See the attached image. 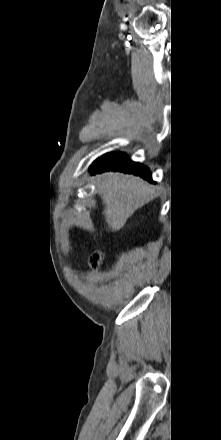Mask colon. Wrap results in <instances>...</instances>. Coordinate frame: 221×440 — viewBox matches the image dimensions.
Masks as SVG:
<instances>
[{
	"mask_svg": "<svg viewBox=\"0 0 221 440\" xmlns=\"http://www.w3.org/2000/svg\"><path fill=\"white\" fill-rule=\"evenodd\" d=\"M103 262H104V257L101 254H96L92 258V264L95 267L101 266L103 264Z\"/></svg>",
	"mask_w": 221,
	"mask_h": 440,
	"instance_id": "1",
	"label": "colon"
}]
</instances>
